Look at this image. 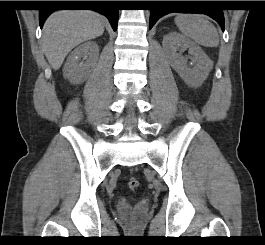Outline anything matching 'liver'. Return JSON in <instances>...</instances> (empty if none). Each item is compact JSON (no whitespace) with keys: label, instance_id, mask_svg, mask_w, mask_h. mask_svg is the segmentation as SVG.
Segmentation results:
<instances>
[{"label":"liver","instance_id":"1","mask_svg":"<svg viewBox=\"0 0 265 245\" xmlns=\"http://www.w3.org/2000/svg\"><path fill=\"white\" fill-rule=\"evenodd\" d=\"M105 19L89 10H63L49 16L43 27V50L54 70L79 44L104 32Z\"/></svg>","mask_w":265,"mask_h":245}]
</instances>
